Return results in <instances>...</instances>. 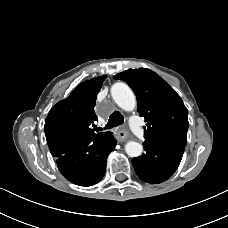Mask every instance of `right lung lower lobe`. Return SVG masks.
Instances as JSON below:
<instances>
[{
	"label": "right lung lower lobe",
	"mask_w": 228,
	"mask_h": 228,
	"mask_svg": "<svg viewBox=\"0 0 228 228\" xmlns=\"http://www.w3.org/2000/svg\"><path fill=\"white\" fill-rule=\"evenodd\" d=\"M115 146L111 133L74 137L49 149L66 179L76 185L91 186L103 178L107 157Z\"/></svg>",
	"instance_id": "1"
}]
</instances>
